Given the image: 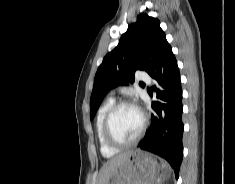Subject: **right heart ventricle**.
Instances as JSON below:
<instances>
[{
  "label": "right heart ventricle",
  "instance_id": "obj_1",
  "mask_svg": "<svg viewBox=\"0 0 235 184\" xmlns=\"http://www.w3.org/2000/svg\"><path fill=\"white\" fill-rule=\"evenodd\" d=\"M113 104H114L113 98H109L106 101H104L98 109L96 121H95L96 140L98 142V145L100 147L102 154L107 158L113 157L114 155L118 153V150L111 148L106 143L105 138H104V132H103V125H104L106 114Z\"/></svg>",
  "mask_w": 235,
  "mask_h": 184
}]
</instances>
